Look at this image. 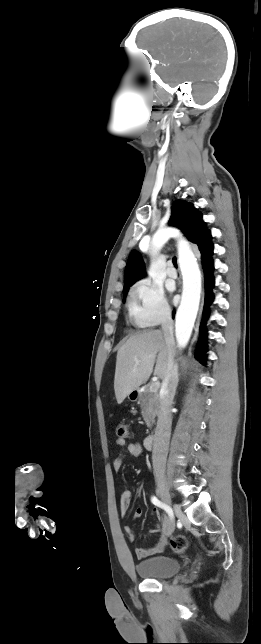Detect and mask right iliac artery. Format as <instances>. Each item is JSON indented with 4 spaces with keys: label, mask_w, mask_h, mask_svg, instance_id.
<instances>
[{
    "label": "right iliac artery",
    "mask_w": 261,
    "mask_h": 644,
    "mask_svg": "<svg viewBox=\"0 0 261 644\" xmlns=\"http://www.w3.org/2000/svg\"><path fill=\"white\" fill-rule=\"evenodd\" d=\"M151 502H152L154 505H156V506H158V507H160V508L164 509V510L169 514V516H170L171 518H173V511H172V509H171L168 505H166L165 503H162V502H161L157 497H155V496L151 497Z\"/></svg>",
    "instance_id": "82829eb1"
}]
</instances>
